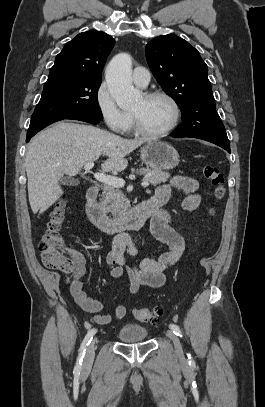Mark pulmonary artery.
<instances>
[{"label": "pulmonary artery", "instance_id": "obj_1", "mask_svg": "<svg viewBox=\"0 0 265 407\" xmlns=\"http://www.w3.org/2000/svg\"><path fill=\"white\" fill-rule=\"evenodd\" d=\"M132 79L135 85L144 88L150 81V72L144 67H136L133 70Z\"/></svg>", "mask_w": 265, "mask_h": 407}]
</instances>
